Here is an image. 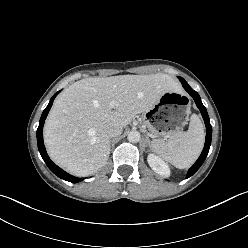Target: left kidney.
I'll use <instances>...</instances> for the list:
<instances>
[{"instance_id":"obj_1","label":"left kidney","mask_w":248,"mask_h":248,"mask_svg":"<svg viewBox=\"0 0 248 248\" xmlns=\"http://www.w3.org/2000/svg\"><path fill=\"white\" fill-rule=\"evenodd\" d=\"M147 161L152 170L160 175H169L170 170L167 164L157 155L150 153Z\"/></svg>"}]
</instances>
